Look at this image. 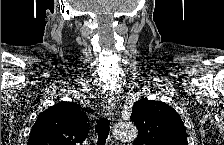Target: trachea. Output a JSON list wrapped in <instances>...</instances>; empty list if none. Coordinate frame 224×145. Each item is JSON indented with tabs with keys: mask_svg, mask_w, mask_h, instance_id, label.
Masks as SVG:
<instances>
[{
	"mask_svg": "<svg viewBox=\"0 0 224 145\" xmlns=\"http://www.w3.org/2000/svg\"><path fill=\"white\" fill-rule=\"evenodd\" d=\"M109 123L107 118H101L96 126L98 140L97 145H104L109 135Z\"/></svg>",
	"mask_w": 224,
	"mask_h": 145,
	"instance_id": "trachea-1",
	"label": "trachea"
}]
</instances>
